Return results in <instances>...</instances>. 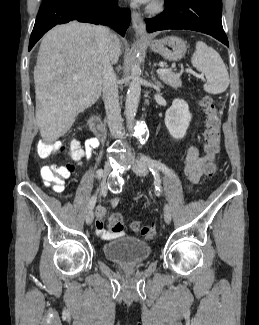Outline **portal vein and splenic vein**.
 I'll return each instance as SVG.
<instances>
[{
    "instance_id": "18ae733b",
    "label": "portal vein and splenic vein",
    "mask_w": 259,
    "mask_h": 325,
    "mask_svg": "<svg viewBox=\"0 0 259 325\" xmlns=\"http://www.w3.org/2000/svg\"><path fill=\"white\" fill-rule=\"evenodd\" d=\"M167 71H168L167 69H163V68L157 69L158 74L166 73Z\"/></svg>"
}]
</instances>
